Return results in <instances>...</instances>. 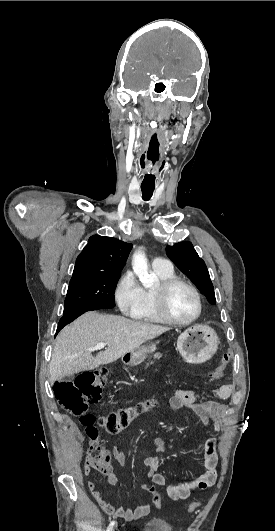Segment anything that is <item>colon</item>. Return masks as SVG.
Instances as JSON below:
<instances>
[{"label":"colon","mask_w":275,"mask_h":531,"mask_svg":"<svg viewBox=\"0 0 275 531\" xmlns=\"http://www.w3.org/2000/svg\"><path fill=\"white\" fill-rule=\"evenodd\" d=\"M222 356L217 368L209 375L214 383L218 382L224 375L226 366L230 362L233 353L231 350L226 349L223 351ZM107 379V369L85 370L74 381L59 380L53 386V394L59 404L69 413L78 417L80 423L84 426L85 433L90 441L89 459L91 466L93 469H99L100 472L106 471L109 466V463L104 459L108 448L99 440V429L93 425L95 415L88 411V405L100 401L102 388L106 385ZM151 407V402H141L100 416L103 432L116 433L118 430L127 427L136 417L148 412ZM142 488L151 493L154 491L155 486L153 483L148 482L144 483ZM198 505L199 502H195L191 508ZM154 509L159 511L161 506L156 504Z\"/></svg>","instance_id":"5ec220e1"}]
</instances>
